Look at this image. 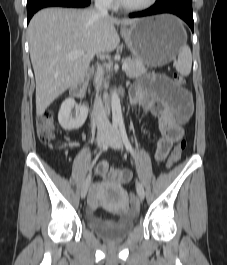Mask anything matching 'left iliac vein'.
Masks as SVG:
<instances>
[{"mask_svg": "<svg viewBox=\"0 0 227 265\" xmlns=\"http://www.w3.org/2000/svg\"><path fill=\"white\" fill-rule=\"evenodd\" d=\"M108 142L111 148L119 150L123 147L122 139L120 133L116 131L114 134H110ZM136 191L139 199L142 201L145 197V191L143 185L140 182L136 184Z\"/></svg>", "mask_w": 227, "mask_h": 265, "instance_id": "left-iliac-vein-1", "label": "left iliac vein"}]
</instances>
